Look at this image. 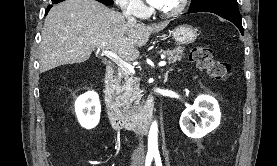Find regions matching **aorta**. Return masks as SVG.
Wrapping results in <instances>:
<instances>
[{"instance_id": "762f6f07", "label": "aorta", "mask_w": 277, "mask_h": 166, "mask_svg": "<svg viewBox=\"0 0 277 166\" xmlns=\"http://www.w3.org/2000/svg\"><path fill=\"white\" fill-rule=\"evenodd\" d=\"M148 149L157 150L158 149V126L156 122H153L149 135H148Z\"/></svg>"}]
</instances>
